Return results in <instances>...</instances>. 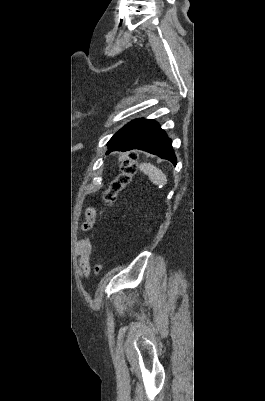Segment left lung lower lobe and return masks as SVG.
Wrapping results in <instances>:
<instances>
[{
  "label": "left lung lower lobe",
  "mask_w": 265,
  "mask_h": 401,
  "mask_svg": "<svg viewBox=\"0 0 265 401\" xmlns=\"http://www.w3.org/2000/svg\"><path fill=\"white\" fill-rule=\"evenodd\" d=\"M172 141L153 120L137 119L126 124L108 142L109 154L112 151L140 149L158 155L176 165Z\"/></svg>",
  "instance_id": "obj_1"
}]
</instances>
